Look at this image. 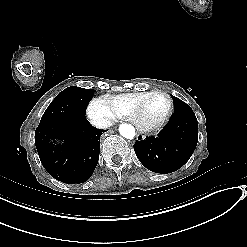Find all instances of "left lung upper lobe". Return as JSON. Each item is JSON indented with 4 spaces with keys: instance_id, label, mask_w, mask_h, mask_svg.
<instances>
[{
    "instance_id": "5c2ea615",
    "label": "left lung upper lobe",
    "mask_w": 247,
    "mask_h": 247,
    "mask_svg": "<svg viewBox=\"0 0 247 247\" xmlns=\"http://www.w3.org/2000/svg\"><path fill=\"white\" fill-rule=\"evenodd\" d=\"M172 99L174 101V113H178V112H182V111H191V107L186 104L185 102H183L182 100H180L177 97L172 96Z\"/></svg>"
}]
</instances>
